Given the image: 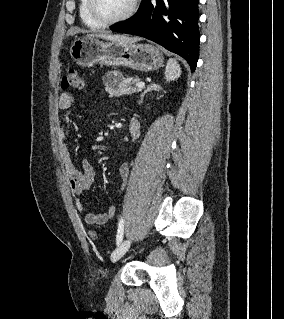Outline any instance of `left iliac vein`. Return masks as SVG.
<instances>
[{"label": "left iliac vein", "instance_id": "left-iliac-vein-1", "mask_svg": "<svg viewBox=\"0 0 284 319\" xmlns=\"http://www.w3.org/2000/svg\"><path fill=\"white\" fill-rule=\"evenodd\" d=\"M131 245V240L126 239L124 240L111 254V260L113 262L118 261L121 257L125 255Z\"/></svg>", "mask_w": 284, "mask_h": 319}]
</instances>
